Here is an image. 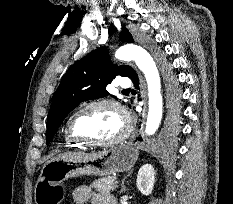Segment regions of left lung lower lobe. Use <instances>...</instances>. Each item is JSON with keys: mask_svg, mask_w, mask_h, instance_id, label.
<instances>
[{"mask_svg": "<svg viewBox=\"0 0 233 204\" xmlns=\"http://www.w3.org/2000/svg\"><path fill=\"white\" fill-rule=\"evenodd\" d=\"M131 79H132V81H133V83H134L135 88L138 89V86H139V78H138L137 73H136V74H133V76L131 77ZM138 140H139V141H142V138L139 137Z\"/></svg>", "mask_w": 233, "mask_h": 204, "instance_id": "left-lung-lower-lobe-1", "label": "left lung lower lobe"}]
</instances>
